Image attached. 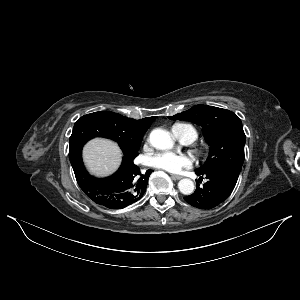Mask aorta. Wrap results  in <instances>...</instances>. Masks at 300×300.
Listing matches in <instances>:
<instances>
[{
    "mask_svg": "<svg viewBox=\"0 0 300 300\" xmlns=\"http://www.w3.org/2000/svg\"><path fill=\"white\" fill-rule=\"evenodd\" d=\"M150 144L156 149L167 150L173 147L174 141L168 131L154 129L149 135ZM194 182L191 179H182L178 183L180 192L184 195H190L194 192Z\"/></svg>",
    "mask_w": 300,
    "mask_h": 300,
    "instance_id": "aorta-1",
    "label": "aorta"
}]
</instances>
